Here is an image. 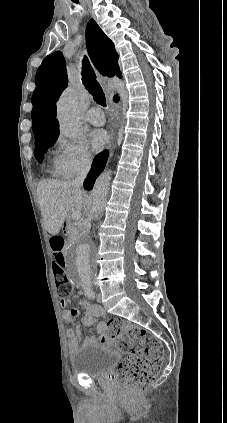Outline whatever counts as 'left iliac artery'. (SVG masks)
I'll use <instances>...</instances> for the list:
<instances>
[{"label":"left iliac artery","instance_id":"1","mask_svg":"<svg viewBox=\"0 0 227 423\" xmlns=\"http://www.w3.org/2000/svg\"><path fill=\"white\" fill-rule=\"evenodd\" d=\"M92 282H86L84 284H82V287L84 289L85 295L90 298V299H94L95 298V293L93 291L92 288Z\"/></svg>","mask_w":227,"mask_h":423}]
</instances>
